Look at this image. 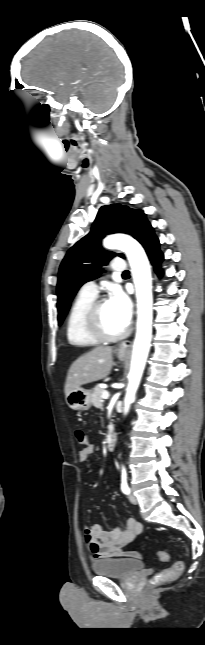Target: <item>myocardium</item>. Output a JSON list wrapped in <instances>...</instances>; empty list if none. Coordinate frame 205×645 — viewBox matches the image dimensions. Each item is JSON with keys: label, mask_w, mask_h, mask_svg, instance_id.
I'll list each match as a JSON object with an SVG mask.
<instances>
[{"label": "myocardium", "mask_w": 205, "mask_h": 645, "mask_svg": "<svg viewBox=\"0 0 205 645\" xmlns=\"http://www.w3.org/2000/svg\"><path fill=\"white\" fill-rule=\"evenodd\" d=\"M105 302H107L105 298L94 299L85 314V326L88 333L100 342L118 341L128 334V329L125 328L117 334H110L105 331L100 319V311Z\"/></svg>", "instance_id": "1"}]
</instances>
